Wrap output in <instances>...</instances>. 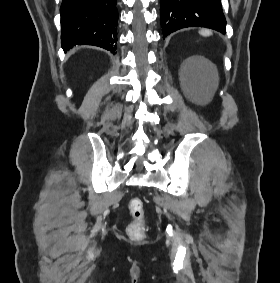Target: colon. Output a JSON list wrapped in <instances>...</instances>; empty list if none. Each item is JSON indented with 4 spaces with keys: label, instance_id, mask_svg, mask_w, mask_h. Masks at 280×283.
<instances>
[{
    "label": "colon",
    "instance_id": "obj_1",
    "mask_svg": "<svg viewBox=\"0 0 280 283\" xmlns=\"http://www.w3.org/2000/svg\"><path fill=\"white\" fill-rule=\"evenodd\" d=\"M132 220L127 227V234L139 239L143 236L145 230L144 204L141 199L133 198L129 203Z\"/></svg>",
    "mask_w": 280,
    "mask_h": 283
}]
</instances>
